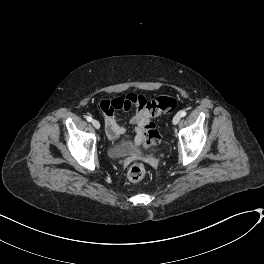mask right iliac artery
<instances>
[{
  "label": "right iliac artery",
  "instance_id": "1",
  "mask_svg": "<svg viewBox=\"0 0 264 264\" xmlns=\"http://www.w3.org/2000/svg\"><path fill=\"white\" fill-rule=\"evenodd\" d=\"M86 119H87L88 122H91L93 120L91 116H87Z\"/></svg>",
  "mask_w": 264,
  "mask_h": 264
}]
</instances>
